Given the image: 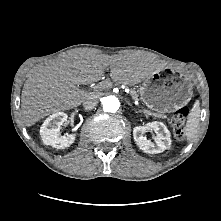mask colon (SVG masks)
<instances>
[{
    "label": "colon",
    "instance_id": "1",
    "mask_svg": "<svg viewBox=\"0 0 221 221\" xmlns=\"http://www.w3.org/2000/svg\"><path fill=\"white\" fill-rule=\"evenodd\" d=\"M188 112L187 107H181L171 116V125L173 127L174 135L178 139H182L185 136V122Z\"/></svg>",
    "mask_w": 221,
    "mask_h": 221
}]
</instances>
